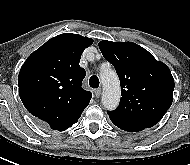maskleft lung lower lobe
Instances as JSON below:
<instances>
[{
  "instance_id": "1",
  "label": "left lung lower lobe",
  "mask_w": 190,
  "mask_h": 165,
  "mask_svg": "<svg viewBox=\"0 0 190 165\" xmlns=\"http://www.w3.org/2000/svg\"><path fill=\"white\" fill-rule=\"evenodd\" d=\"M114 125H116L118 128L122 129V130H125V131H130V132H137V131H141V130H138L136 128H133V127H130V126H126V125H123V124H120V123H117V122H114Z\"/></svg>"
}]
</instances>
